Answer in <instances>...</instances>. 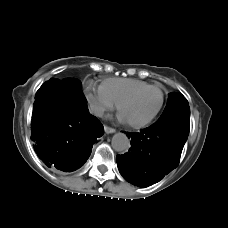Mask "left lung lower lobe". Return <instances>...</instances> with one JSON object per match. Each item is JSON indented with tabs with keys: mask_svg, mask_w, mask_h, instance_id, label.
Returning a JSON list of instances; mask_svg holds the SVG:
<instances>
[{
	"mask_svg": "<svg viewBox=\"0 0 228 228\" xmlns=\"http://www.w3.org/2000/svg\"><path fill=\"white\" fill-rule=\"evenodd\" d=\"M189 130L185 119L179 124L158 120L140 132H127L132 147L116 157L121 175L140 187L160 181L178 166Z\"/></svg>",
	"mask_w": 228,
	"mask_h": 228,
	"instance_id": "obj_1",
	"label": "left lung lower lobe"
}]
</instances>
